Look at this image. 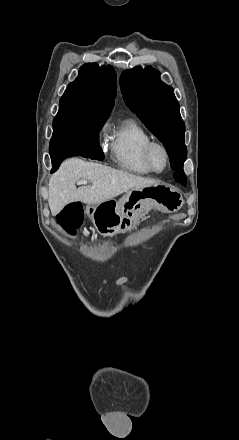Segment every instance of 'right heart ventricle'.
<instances>
[{
  "label": "right heart ventricle",
  "instance_id": "e07e8e85",
  "mask_svg": "<svg viewBox=\"0 0 239 440\" xmlns=\"http://www.w3.org/2000/svg\"><path fill=\"white\" fill-rule=\"evenodd\" d=\"M152 140L150 134L134 121H126L114 130L110 147L113 163L130 173L148 175L152 171L144 159V148Z\"/></svg>",
  "mask_w": 239,
  "mask_h": 440
}]
</instances>
